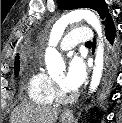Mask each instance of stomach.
Here are the masks:
<instances>
[{"mask_svg":"<svg viewBox=\"0 0 122 123\" xmlns=\"http://www.w3.org/2000/svg\"><path fill=\"white\" fill-rule=\"evenodd\" d=\"M72 118L71 117H66V116H61L60 122L61 123H71Z\"/></svg>","mask_w":122,"mask_h":123,"instance_id":"obj_1","label":"stomach"}]
</instances>
